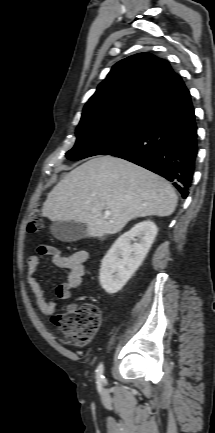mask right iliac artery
Masks as SVG:
<instances>
[{
	"label": "right iliac artery",
	"mask_w": 215,
	"mask_h": 433,
	"mask_svg": "<svg viewBox=\"0 0 215 433\" xmlns=\"http://www.w3.org/2000/svg\"><path fill=\"white\" fill-rule=\"evenodd\" d=\"M103 370H104V366L101 363L98 368L96 369V379L99 383L104 381V376H103Z\"/></svg>",
	"instance_id": "82829eb1"
}]
</instances>
